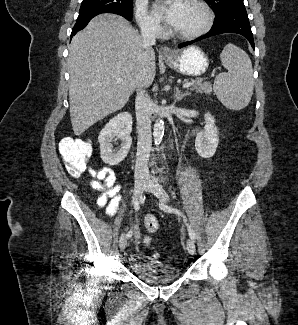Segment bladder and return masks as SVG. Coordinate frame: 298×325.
Listing matches in <instances>:
<instances>
[{"mask_svg":"<svg viewBox=\"0 0 298 325\" xmlns=\"http://www.w3.org/2000/svg\"><path fill=\"white\" fill-rule=\"evenodd\" d=\"M130 269L139 280L150 285L172 283L181 276L177 267L154 261L145 255L132 256Z\"/></svg>","mask_w":298,"mask_h":325,"instance_id":"1","label":"bladder"}]
</instances>
